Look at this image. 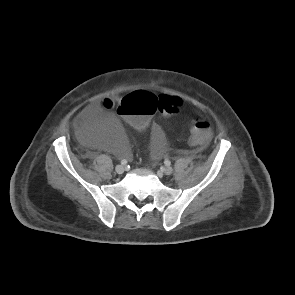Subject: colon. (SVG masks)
Masks as SVG:
<instances>
[{"label":"colon","mask_w":295,"mask_h":295,"mask_svg":"<svg viewBox=\"0 0 295 295\" xmlns=\"http://www.w3.org/2000/svg\"><path fill=\"white\" fill-rule=\"evenodd\" d=\"M106 108L115 107L122 115L125 123L134 129H145L151 123L153 114H173L180 110L182 100L175 96L154 95L146 91H138L126 97L113 100H104ZM212 135L210 124L198 117L192 120L190 127V141L194 145L206 144Z\"/></svg>","instance_id":"5ec220e1"}]
</instances>
